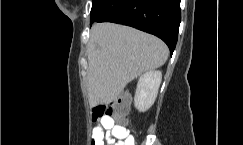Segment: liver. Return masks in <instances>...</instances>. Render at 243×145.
I'll use <instances>...</instances> for the list:
<instances>
[{"mask_svg": "<svg viewBox=\"0 0 243 145\" xmlns=\"http://www.w3.org/2000/svg\"><path fill=\"white\" fill-rule=\"evenodd\" d=\"M87 53L88 97L95 107L114 101L129 82L161 67L169 50L153 35L123 25L96 23Z\"/></svg>", "mask_w": 243, "mask_h": 145, "instance_id": "6515ba94", "label": "liver"}]
</instances>
